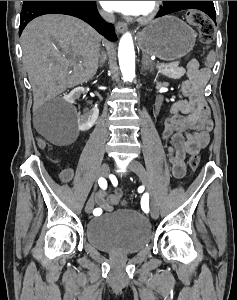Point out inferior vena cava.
<instances>
[{
  "label": "inferior vena cava",
  "mask_w": 237,
  "mask_h": 300,
  "mask_svg": "<svg viewBox=\"0 0 237 300\" xmlns=\"http://www.w3.org/2000/svg\"><path fill=\"white\" fill-rule=\"evenodd\" d=\"M100 15L103 17V19H105V21H108V23H115V17L113 13H104V11H101Z\"/></svg>",
  "instance_id": "obj_1"
}]
</instances>
